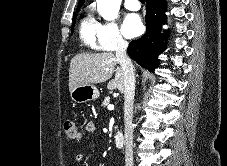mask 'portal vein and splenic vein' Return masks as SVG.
Masks as SVG:
<instances>
[{
    "mask_svg": "<svg viewBox=\"0 0 227 166\" xmlns=\"http://www.w3.org/2000/svg\"><path fill=\"white\" fill-rule=\"evenodd\" d=\"M107 108H108V110H113L114 109V105L109 104Z\"/></svg>",
    "mask_w": 227,
    "mask_h": 166,
    "instance_id": "portal-vein-and-splenic-vein-1",
    "label": "portal vein and splenic vein"
}]
</instances>
